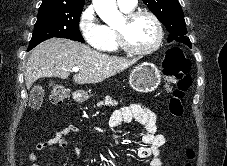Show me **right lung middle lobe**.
Here are the masks:
<instances>
[{
	"label": "right lung middle lobe",
	"instance_id": "right-lung-middle-lobe-1",
	"mask_svg": "<svg viewBox=\"0 0 227 166\" xmlns=\"http://www.w3.org/2000/svg\"><path fill=\"white\" fill-rule=\"evenodd\" d=\"M81 12L82 9L73 8H39L28 48L32 49L39 43L53 37L84 43L78 27Z\"/></svg>",
	"mask_w": 227,
	"mask_h": 166
}]
</instances>
